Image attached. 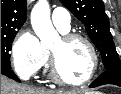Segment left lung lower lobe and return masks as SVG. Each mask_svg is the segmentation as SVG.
Returning a JSON list of instances; mask_svg holds the SVG:
<instances>
[{"instance_id": "0a47b994", "label": "left lung lower lobe", "mask_w": 121, "mask_h": 94, "mask_svg": "<svg viewBox=\"0 0 121 94\" xmlns=\"http://www.w3.org/2000/svg\"><path fill=\"white\" fill-rule=\"evenodd\" d=\"M105 84H113L121 87V70H106L102 73L90 87H98Z\"/></svg>"}]
</instances>
